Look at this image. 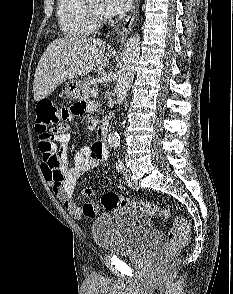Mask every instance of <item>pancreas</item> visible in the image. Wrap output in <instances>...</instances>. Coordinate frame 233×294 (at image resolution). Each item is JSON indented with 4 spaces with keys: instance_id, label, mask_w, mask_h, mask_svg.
<instances>
[{
    "instance_id": "cf45deb5",
    "label": "pancreas",
    "mask_w": 233,
    "mask_h": 294,
    "mask_svg": "<svg viewBox=\"0 0 233 294\" xmlns=\"http://www.w3.org/2000/svg\"><path fill=\"white\" fill-rule=\"evenodd\" d=\"M91 89H92L91 80L84 81L82 84V89H81L83 99H88L90 97Z\"/></svg>"
}]
</instances>
